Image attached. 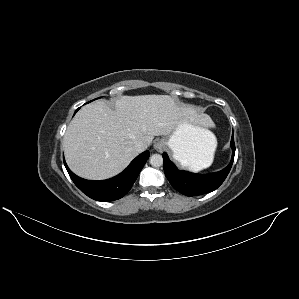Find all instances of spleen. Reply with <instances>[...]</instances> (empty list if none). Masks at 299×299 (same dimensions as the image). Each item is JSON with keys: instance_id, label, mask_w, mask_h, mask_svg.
Listing matches in <instances>:
<instances>
[{"instance_id": "obj_1", "label": "spleen", "mask_w": 299, "mask_h": 299, "mask_svg": "<svg viewBox=\"0 0 299 299\" xmlns=\"http://www.w3.org/2000/svg\"><path fill=\"white\" fill-rule=\"evenodd\" d=\"M206 124L212 126V125H213V122L211 121V119L208 118L207 121H206ZM209 136H210V137H214L213 133L210 132V131H209ZM180 161L183 163V160H182V159H180ZM211 163H212V161L209 162V163H207V164H204V165H202V166L197 165V164H188V167H189L191 170L199 171V170H201V169H203V168H207V167H209V166L211 165Z\"/></svg>"}]
</instances>
